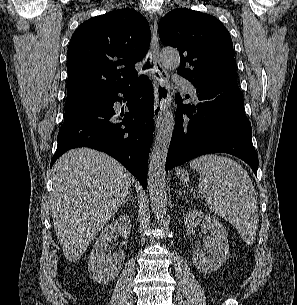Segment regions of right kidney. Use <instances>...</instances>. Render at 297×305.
I'll return each instance as SVG.
<instances>
[{
  "label": "right kidney",
  "instance_id": "1",
  "mask_svg": "<svg viewBox=\"0 0 297 305\" xmlns=\"http://www.w3.org/2000/svg\"><path fill=\"white\" fill-rule=\"evenodd\" d=\"M130 228V218L124 214L102 230L89 257L88 271L93 281L99 284H106L119 275L125 259L124 252L120 251L111 256L108 248L117 234L127 239L130 234Z\"/></svg>",
  "mask_w": 297,
  "mask_h": 305
}]
</instances>
